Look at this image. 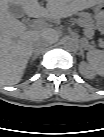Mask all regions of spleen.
Segmentation results:
<instances>
[{
  "mask_svg": "<svg viewBox=\"0 0 104 137\" xmlns=\"http://www.w3.org/2000/svg\"><path fill=\"white\" fill-rule=\"evenodd\" d=\"M87 60L91 68L97 73H103V52L91 50L87 53Z\"/></svg>",
  "mask_w": 104,
  "mask_h": 137,
  "instance_id": "1",
  "label": "spleen"
}]
</instances>
